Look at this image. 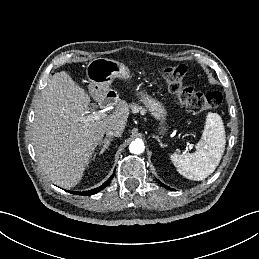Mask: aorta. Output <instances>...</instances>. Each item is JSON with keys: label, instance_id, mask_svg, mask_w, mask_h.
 <instances>
[{"label": "aorta", "instance_id": "obj_1", "mask_svg": "<svg viewBox=\"0 0 259 259\" xmlns=\"http://www.w3.org/2000/svg\"><path fill=\"white\" fill-rule=\"evenodd\" d=\"M145 146L143 141L136 139L132 141L129 145V150L133 154H141L144 152Z\"/></svg>", "mask_w": 259, "mask_h": 259}]
</instances>
